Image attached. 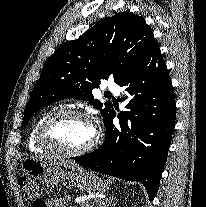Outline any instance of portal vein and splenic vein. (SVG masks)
I'll return each instance as SVG.
<instances>
[{"label":"portal vein and splenic vein","instance_id":"18ae733b","mask_svg":"<svg viewBox=\"0 0 206 207\" xmlns=\"http://www.w3.org/2000/svg\"><path fill=\"white\" fill-rule=\"evenodd\" d=\"M95 202H96V203H98L99 201H98V200H96Z\"/></svg>","mask_w":206,"mask_h":207}]
</instances>
